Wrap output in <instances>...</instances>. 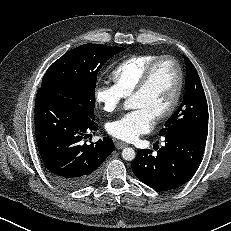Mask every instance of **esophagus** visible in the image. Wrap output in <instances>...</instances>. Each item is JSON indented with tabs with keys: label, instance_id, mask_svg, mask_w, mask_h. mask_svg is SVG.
Segmentation results:
<instances>
[{
	"label": "esophagus",
	"instance_id": "1",
	"mask_svg": "<svg viewBox=\"0 0 231 231\" xmlns=\"http://www.w3.org/2000/svg\"><path fill=\"white\" fill-rule=\"evenodd\" d=\"M115 146L117 149H123V148L127 147L128 145L122 141H118V142H116Z\"/></svg>",
	"mask_w": 231,
	"mask_h": 231
}]
</instances>
